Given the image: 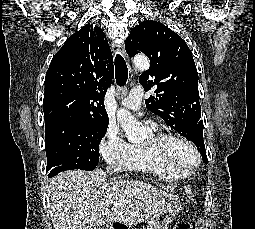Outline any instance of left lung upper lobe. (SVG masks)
<instances>
[{
    "label": "left lung upper lobe",
    "mask_w": 255,
    "mask_h": 229,
    "mask_svg": "<svg viewBox=\"0 0 255 229\" xmlns=\"http://www.w3.org/2000/svg\"><path fill=\"white\" fill-rule=\"evenodd\" d=\"M125 48L131 57L143 53L150 59V68L139 77L145 91L156 93L145 100L146 107L190 139L207 164L198 73L185 41L162 23L145 20L131 30Z\"/></svg>",
    "instance_id": "1"
}]
</instances>
